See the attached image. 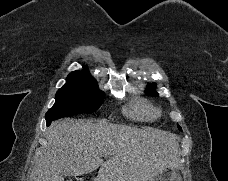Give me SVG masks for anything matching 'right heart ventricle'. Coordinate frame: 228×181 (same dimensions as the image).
Returning <instances> with one entry per match:
<instances>
[{
    "label": "right heart ventricle",
    "instance_id": "1",
    "mask_svg": "<svg viewBox=\"0 0 228 181\" xmlns=\"http://www.w3.org/2000/svg\"><path fill=\"white\" fill-rule=\"evenodd\" d=\"M135 115H137V116H139V117H144V116L149 117V116H150V114L144 113V112H135Z\"/></svg>",
    "mask_w": 228,
    "mask_h": 181
}]
</instances>
